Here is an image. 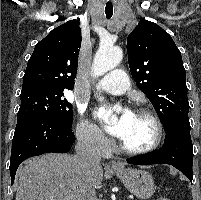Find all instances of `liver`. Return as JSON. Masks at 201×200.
I'll use <instances>...</instances> for the list:
<instances>
[{
	"label": "liver",
	"instance_id": "liver-1",
	"mask_svg": "<svg viewBox=\"0 0 201 200\" xmlns=\"http://www.w3.org/2000/svg\"><path fill=\"white\" fill-rule=\"evenodd\" d=\"M15 200H78L80 174L75 156L48 153L24 162L17 171ZM95 187L103 180L99 165L92 172Z\"/></svg>",
	"mask_w": 201,
	"mask_h": 200
}]
</instances>
